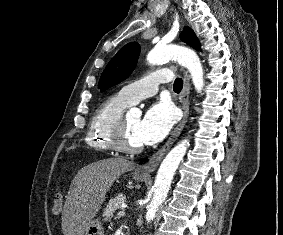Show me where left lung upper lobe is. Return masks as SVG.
<instances>
[{"label": "left lung upper lobe", "mask_w": 283, "mask_h": 235, "mask_svg": "<svg viewBox=\"0 0 283 235\" xmlns=\"http://www.w3.org/2000/svg\"><path fill=\"white\" fill-rule=\"evenodd\" d=\"M180 38L188 45L200 49L198 39L189 27L184 28L180 34ZM139 54L140 45L137 42H131L123 46L108 63L101 75L98 84L101 91L125 80L134 70Z\"/></svg>", "instance_id": "left-lung-upper-lobe-1"}]
</instances>
